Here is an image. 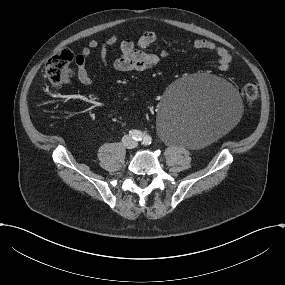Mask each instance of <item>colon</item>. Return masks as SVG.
Here are the masks:
<instances>
[{"label":"colon","mask_w":285,"mask_h":285,"mask_svg":"<svg viewBox=\"0 0 285 285\" xmlns=\"http://www.w3.org/2000/svg\"><path fill=\"white\" fill-rule=\"evenodd\" d=\"M72 60L73 54L67 49L59 50L49 58L45 65V74L53 85H62L71 76ZM241 95L247 103L253 104L259 97L257 85L246 83L241 89Z\"/></svg>","instance_id":"colon-1"}]
</instances>
